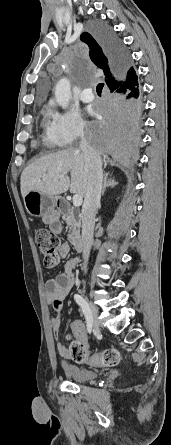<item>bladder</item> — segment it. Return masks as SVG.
I'll use <instances>...</instances> for the list:
<instances>
[{"instance_id": "31cf9c89", "label": "bladder", "mask_w": 171, "mask_h": 445, "mask_svg": "<svg viewBox=\"0 0 171 445\" xmlns=\"http://www.w3.org/2000/svg\"><path fill=\"white\" fill-rule=\"evenodd\" d=\"M67 376L74 382H87L94 379L97 373L92 369L69 366L66 370Z\"/></svg>"}]
</instances>
